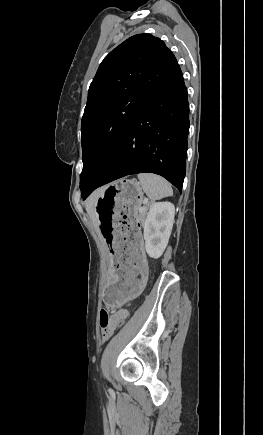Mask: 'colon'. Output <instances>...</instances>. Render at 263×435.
Listing matches in <instances>:
<instances>
[{
	"mask_svg": "<svg viewBox=\"0 0 263 435\" xmlns=\"http://www.w3.org/2000/svg\"><path fill=\"white\" fill-rule=\"evenodd\" d=\"M106 321H114L116 323V327H120L121 329L125 326V321L115 320V318L112 317L110 311L106 308H103L100 312V325L103 337L105 338H108L112 334V330H106L104 328V323Z\"/></svg>",
	"mask_w": 263,
	"mask_h": 435,
	"instance_id": "obj_1",
	"label": "colon"
}]
</instances>
